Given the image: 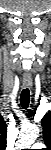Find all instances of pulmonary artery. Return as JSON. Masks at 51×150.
<instances>
[{
    "instance_id": "1",
    "label": "pulmonary artery",
    "mask_w": 51,
    "mask_h": 150,
    "mask_svg": "<svg viewBox=\"0 0 51 150\" xmlns=\"http://www.w3.org/2000/svg\"><path fill=\"white\" fill-rule=\"evenodd\" d=\"M41 146H42L41 144L37 143V144H34L32 147L33 148H38V147H41Z\"/></svg>"
}]
</instances>
